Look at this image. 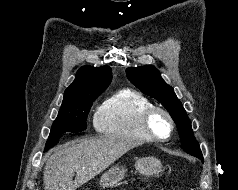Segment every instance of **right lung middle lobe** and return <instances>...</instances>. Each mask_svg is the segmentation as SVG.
Here are the masks:
<instances>
[{
	"instance_id": "dd1d6c3e",
	"label": "right lung middle lobe",
	"mask_w": 238,
	"mask_h": 190,
	"mask_svg": "<svg viewBox=\"0 0 238 190\" xmlns=\"http://www.w3.org/2000/svg\"><path fill=\"white\" fill-rule=\"evenodd\" d=\"M100 95H83L77 97L74 101L63 104L59 110L58 116L53 122L49 138L46 142L45 150L55 146L61 134L65 132H80L86 129V119L92 102Z\"/></svg>"
}]
</instances>
